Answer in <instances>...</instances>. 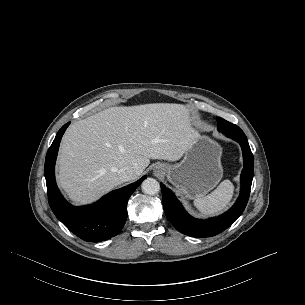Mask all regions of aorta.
<instances>
[{
  "label": "aorta",
  "instance_id": "1",
  "mask_svg": "<svg viewBox=\"0 0 305 305\" xmlns=\"http://www.w3.org/2000/svg\"><path fill=\"white\" fill-rule=\"evenodd\" d=\"M142 191L148 195H155L160 191V184L154 178L145 179L142 184Z\"/></svg>",
  "mask_w": 305,
  "mask_h": 305
}]
</instances>
